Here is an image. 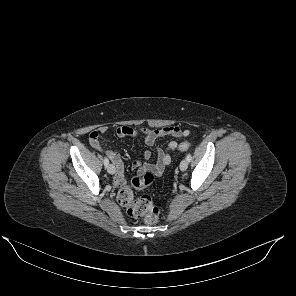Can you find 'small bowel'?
I'll use <instances>...</instances> for the list:
<instances>
[{"label": "small bowel", "mask_w": 296, "mask_h": 296, "mask_svg": "<svg viewBox=\"0 0 296 296\" xmlns=\"http://www.w3.org/2000/svg\"><path fill=\"white\" fill-rule=\"evenodd\" d=\"M108 128L103 126L99 129L92 131L89 135V142L90 145L100 151L105 152L106 155L110 158L112 163L115 166V176L113 179L114 184L117 187H122L126 183L125 173H124V164L122 158L119 153L111 151V150H104L100 137L107 132ZM190 133L189 130H183L179 126H166L161 129H134L128 126H119L116 128V134L119 137H137L142 136L144 142L148 146H154L156 141L159 138L164 137H174V138H182L188 136ZM177 149V142L171 141L168 143L166 149L157 148V160L155 163H142L140 161H133L132 162V169L136 170L138 173H144L147 171L153 172L156 176L161 175L164 169L170 164L171 162V153H174ZM143 158L145 160H149L151 158V152L146 150L143 153Z\"/></svg>", "instance_id": "c3829d8e"}]
</instances>
